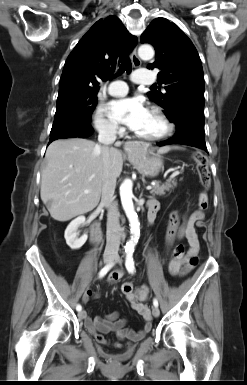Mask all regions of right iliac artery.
<instances>
[{
    "mask_svg": "<svg viewBox=\"0 0 247 385\" xmlns=\"http://www.w3.org/2000/svg\"><path fill=\"white\" fill-rule=\"evenodd\" d=\"M113 266V263L109 264V265H106L104 268L101 269V271L99 272V277L102 278L104 277L107 272L111 269V267ZM76 310L77 311H81L82 310V306L80 304H78L76 306Z\"/></svg>",
    "mask_w": 247,
    "mask_h": 385,
    "instance_id": "right-iliac-artery-1",
    "label": "right iliac artery"
}]
</instances>
